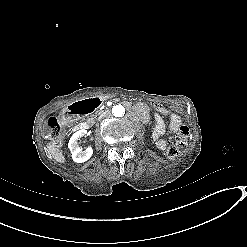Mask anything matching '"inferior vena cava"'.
<instances>
[{"label":"inferior vena cava","mask_w":247,"mask_h":247,"mask_svg":"<svg viewBox=\"0 0 247 247\" xmlns=\"http://www.w3.org/2000/svg\"><path fill=\"white\" fill-rule=\"evenodd\" d=\"M103 116H104V115H101V116L99 117V119H101Z\"/></svg>","instance_id":"602c4592"}]
</instances>
